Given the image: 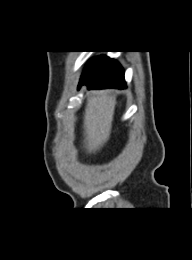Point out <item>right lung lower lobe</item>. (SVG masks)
Segmentation results:
<instances>
[{
    "instance_id": "obj_1",
    "label": "right lung lower lobe",
    "mask_w": 192,
    "mask_h": 260,
    "mask_svg": "<svg viewBox=\"0 0 192 260\" xmlns=\"http://www.w3.org/2000/svg\"><path fill=\"white\" fill-rule=\"evenodd\" d=\"M82 85H87L88 89H124L126 88L124 71L117 61L99 56L88 62L78 88Z\"/></svg>"
}]
</instances>
